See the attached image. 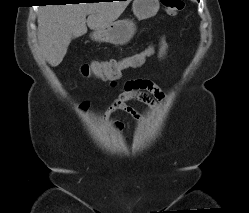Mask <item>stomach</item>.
<instances>
[{
    "mask_svg": "<svg viewBox=\"0 0 249 213\" xmlns=\"http://www.w3.org/2000/svg\"><path fill=\"white\" fill-rule=\"evenodd\" d=\"M160 8L159 0H134L132 10L138 20H144L157 14ZM136 26L133 20L122 19L95 30L91 37L95 41L114 45H125L135 34Z\"/></svg>",
    "mask_w": 249,
    "mask_h": 213,
    "instance_id": "0dacf381",
    "label": "stomach"
}]
</instances>
